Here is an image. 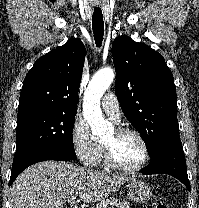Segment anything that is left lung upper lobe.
I'll list each match as a JSON object with an SVG mask.
<instances>
[{
  "instance_id": "1",
  "label": "left lung upper lobe",
  "mask_w": 199,
  "mask_h": 208,
  "mask_svg": "<svg viewBox=\"0 0 199 208\" xmlns=\"http://www.w3.org/2000/svg\"><path fill=\"white\" fill-rule=\"evenodd\" d=\"M112 56L115 94L153 156L165 141L179 135L172 72L161 54L126 35L114 40Z\"/></svg>"
}]
</instances>
